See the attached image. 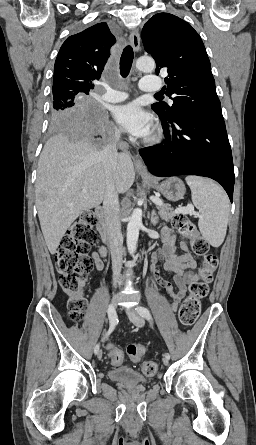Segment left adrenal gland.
Returning <instances> with one entry per match:
<instances>
[{"mask_svg": "<svg viewBox=\"0 0 256 445\" xmlns=\"http://www.w3.org/2000/svg\"><path fill=\"white\" fill-rule=\"evenodd\" d=\"M159 217L156 214V211L153 209L151 213V224L156 226L158 224Z\"/></svg>", "mask_w": 256, "mask_h": 445, "instance_id": "left-adrenal-gland-1", "label": "left adrenal gland"}]
</instances>
